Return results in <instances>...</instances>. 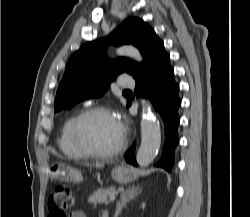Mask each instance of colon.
<instances>
[{"mask_svg": "<svg viewBox=\"0 0 250 217\" xmlns=\"http://www.w3.org/2000/svg\"><path fill=\"white\" fill-rule=\"evenodd\" d=\"M74 195L69 185L57 184L48 200V217H68V212L74 206Z\"/></svg>", "mask_w": 250, "mask_h": 217, "instance_id": "5ec220e1", "label": "colon"}]
</instances>
